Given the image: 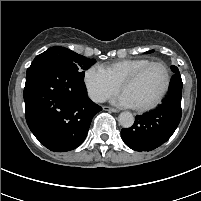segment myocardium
<instances>
[{
    "mask_svg": "<svg viewBox=\"0 0 201 201\" xmlns=\"http://www.w3.org/2000/svg\"><path fill=\"white\" fill-rule=\"evenodd\" d=\"M154 65H158L161 66L162 69L164 70L165 73V83L164 86L161 90V92L159 93V95L150 103L145 104V105H141V106H133L134 109H136L137 111H147L150 110L154 107H156L165 97V95L167 94L169 88H170V84H171V72L170 69L168 67V65L163 62V61H150L147 64L141 66L140 68H138L137 70H135L133 73H131L129 76H127L120 84V89L123 91V89L133 83L146 69H148L151 66Z\"/></svg>",
    "mask_w": 201,
    "mask_h": 201,
    "instance_id": "f54148a6",
    "label": "myocardium"
}]
</instances>
